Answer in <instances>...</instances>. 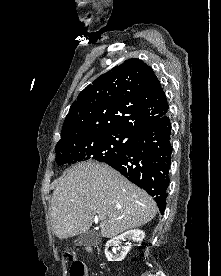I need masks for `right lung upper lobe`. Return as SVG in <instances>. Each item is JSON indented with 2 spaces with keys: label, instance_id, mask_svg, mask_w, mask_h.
<instances>
[{
  "label": "right lung upper lobe",
  "instance_id": "right-lung-upper-lobe-1",
  "mask_svg": "<svg viewBox=\"0 0 221 276\" xmlns=\"http://www.w3.org/2000/svg\"><path fill=\"white\" fill-rule=\"evenodd\" d=\"M168 108L152 68L139 59H129L79 93L65 118L59 142L103 132L134 136L165 116Z\"/></svg>",
  "mask_w": 221,
  "mask_h": 276
}]
</instances>
